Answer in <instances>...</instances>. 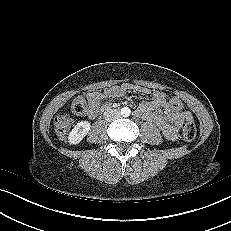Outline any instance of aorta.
<instances>
[{"mask_svg": "<svg viewBox=\"0 0 231 231\" xmlns=\"http://www.w3.org/2000/svg\"><path fill=\"white\" fill-rule=\"evenodd\" d=\"M131 114V110L128 107H123L121 109V115L123 117H128Z\"/></svg>", "mask_w": 231, "mask_h": 231, "instance_id": "aorta-1", "label": "aorta"}]
</instances>
